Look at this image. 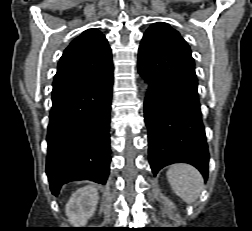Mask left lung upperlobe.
Segmentation results:
<instances>
[{"label": "left lung upper lobe", "mask_w": 252, "mask_h": 231, "mask_svg": "<svg viewBox=\"0 0 252 231\" xmlns=\"http://www.w3.org/2000/svg\"><path fill=\"white\" fill-rule=\"evenodd\" d=\"M142 44L172 45L191 53L190 47L179 32L164 22L152 24L145 32L141 42V45Z\"/></svg>", "instance_id": "1"}]
</instances>
